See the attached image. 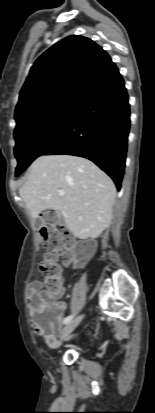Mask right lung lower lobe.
<instances>
[{"label":"right lung lower lobe","instance_id":"obj_1","mask_svg":"<svg viewBox=\"0 0 155 413\" xmlns=\"http://www.w3.org/2000/svg\"><path fill=\"white\" fill-rule=\"evenodd\" d=\"M130 129V108L118 72L77 103L62 134L42 155L87 158L105 171L120 190Z\"/></svg>","mask_w":155,"mask_h":413}]
</instances>
